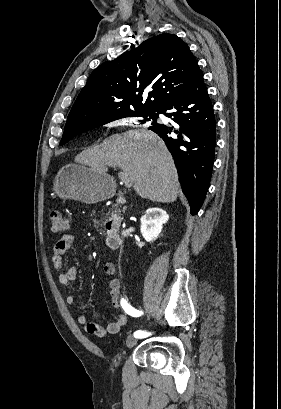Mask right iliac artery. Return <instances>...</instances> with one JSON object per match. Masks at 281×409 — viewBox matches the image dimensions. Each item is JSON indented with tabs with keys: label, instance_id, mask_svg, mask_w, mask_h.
<instances>
[{
	"label": "right iliac artery",
	"instance_id": "82829eb1",
	"mask_svg": "<svg viewBox=\"0 0 281 409\" xmlns=\"http://www.w3.org/2000/svg\"><path fill=\"white\" fill-rule=\"evenodd\" d=\"M121 305H122V308L124 309V311L127 314L131 315V316L138 317V316L143 314V312L133 308L125 299L121 300ZM149 335H150V333H147V332L142 331V330H138V331H136L134 333L135 338H144V337H147Z\"/></svg>",
	"mask_w": 281,
	"mask_h": 409
}]
</instances>
